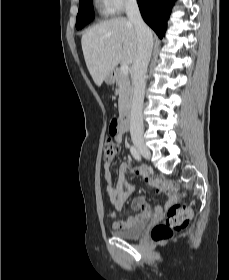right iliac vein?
I'll use <instances>...</instances> for the list:
<instances>
[{
    "label": "right iliac vein",
    "instance_id": "right-iliac-vein-1",
    "mask_svg": "<svg viewBox=\"0 0 229 280\" xmlns=\"http://www.w3.org/2000/svg\"><path fill=\"white\" fill-rule=\"evenodd\" d=\"M133 143L145 158H150V151L141 139L134 138Z\"/></svg>",
    "mask_w": 229,
    "mask_h": 280
}]
</instances>
